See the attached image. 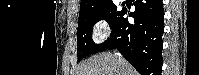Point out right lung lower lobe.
Listing matches in <instances>:
<instances>
[{
  "instance_id": "right-lung-lower-lobe-1",
  "label": "right lung lower lobe",
  "mask_w": 199,
  "mask_h": 75,
  "mask_svg": "<svg viewBox=\"0 0 199 75\" xmlns=\"http://www.w3.org/2000/svg\"><path fill=\"white\" fill-rule=\"evenodd\" d=\"M130 24L122 13L110 38L98 50L117 49L141 75H161L164 9L162 0H135Z\"/></svg>"
}]
</instances>
